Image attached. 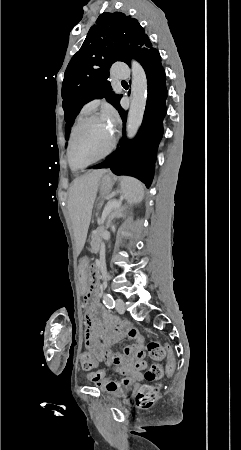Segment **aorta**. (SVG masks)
Masks as SVG:
<instances>
[{
    "label": "aorta",
    "instance_id": "762f6f07",
    "mask_svg": "<svg viewBox=\"0 0 241 450\" xmlns=\"http://www.w3.org/2000/svg\"><path fill=\"white\" fill-rule=\"evenodd\" d=\"M147 78L143 67L136 61H132L131 102L127 118V137L133 139L142 124L146 100Z\"/></svg>",
    "mask_w": 241,
    "mask_h": 450
}]
</instances>
